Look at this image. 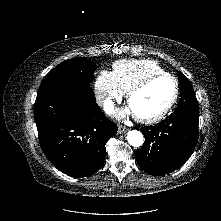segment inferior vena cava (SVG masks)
<instances>
[{"mask_svg": "<svg viewBox=\"0 0 221 221\" xmlns=\"http://www.w3.org/2000/svg\"><path fill=\"white\" fill-rule=\"evenodd\" d=\"M110 99V96L107 93H98L96 96L97 103L102 105L105 100Z\"/></svg>", "mask_w": 221, "mask_h": 221, "instance_id": "inferior-vena-cava-1", "label": "inferior vena cava"}]
</instances>
